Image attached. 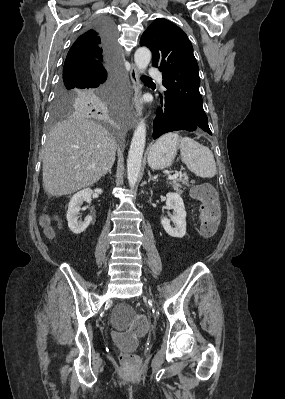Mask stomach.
Masks as SVG:
<instances>
[{"mask_svg": "<svg viewBox=\"0 0 285 399\" xmlns=\"http://www.w3.org/2000/svg\"><path fill=\"white\" fill-rule=\"evenodd\" d=\"M178 147V136L168 134L162 137L150 149L148 154V165L151 169L162 170L171 166Z\"/></svg>", "mask_w": 285, "mask_h": 399, "instance_id": "stomach-1", "label": "stomach"}]
</instances>
